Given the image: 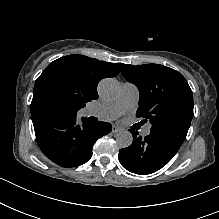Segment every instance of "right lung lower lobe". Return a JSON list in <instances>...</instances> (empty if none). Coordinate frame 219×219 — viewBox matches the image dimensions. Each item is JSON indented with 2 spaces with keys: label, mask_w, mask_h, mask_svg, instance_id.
<instances>
[{
  "label": "right lung lower lobe",
  "mask_w": 219,
  "mask_h": 219,
  "mask_svg": "<svg viewBox=\"0 0 219 219\" xmlns=\"http://www.w3.org/2000/svg\"><path fill=\"white\" fill-rule=\"evenodd\" d=\"M32 121L41 151L62 167L86 163L96 140L112 130L110 123H92L87 118L79 125L76 115L39 112L32 114Z\"/></svg>",
  "instance_id": "right-lung-lower-lobe-1"
}]
</instances>
